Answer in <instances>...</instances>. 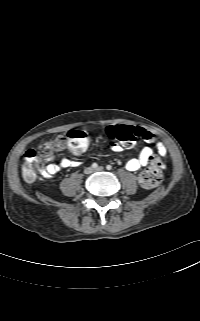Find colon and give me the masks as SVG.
<instances>
[{
  "instance_id": "5ec220e1",
  "label": "colon",
  "mask_w": 200,
  "mask_h": 321,
  "mask_svg": "<svg viewBox=\"0 0 200 321\" xmlns=\"http://www.w3.org/2000/svg\"><path fill=\"white\" fill-rule=\"evenodd\" d=\"M106 135L110 140L117 141L124 147L134 146L141 135L137 127L128 125L108 126L105 129ZM58 140L67 144L73 155L84 156L88 145V135L83 130H72L64 138H57L47 141L39 146L38 149H28L23 155L22 173L26 181H33L36 177V171L42 161L48 160L56 151ZM162 180V171L160 160L157 156H152L150 165L139 177L140 184L145 188L156 187Z\"/></svg>"
}]
</instances>
